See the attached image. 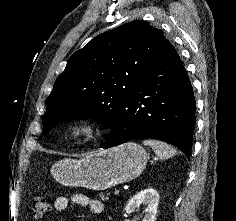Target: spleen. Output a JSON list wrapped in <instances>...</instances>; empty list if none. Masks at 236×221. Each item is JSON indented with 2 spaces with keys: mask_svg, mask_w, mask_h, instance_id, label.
<instances>
[{
  "mask_svg": "<svg viewBox=\"0 0 236 221\" xmlns=\"http://www.w3.org/2000/svg\"><path fill=\"white\" fill-rule=\"evenodd\" d=\"M143 144L150 146L160 160H166L176 154V150L171 145L159 140L147 139L143 141Z\"/></svg>",
  "mask_w": 236,
  "mask_h": 221,
  "instance_id": "spleen-1",
  "label": "spleen"
}]
</instances>
